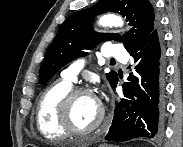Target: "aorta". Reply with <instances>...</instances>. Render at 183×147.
Listing matches in <instances>:
<instances>
[{"label":"aorta","mask_w":183,"mask_h":147,"mask_svg":"<svg viewBox=\"0 0 183 147\" xmlns=\"http://www.w3.org/2000/svg\"><path fill=\"white\" fill-rule=\"evenodd\" d=\"M99 25L104 27H122L123 20L114 14H106L99 19Z\"/></svg>","instance_id":"1"}]
</instances>
